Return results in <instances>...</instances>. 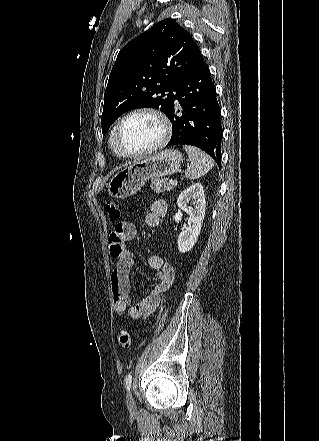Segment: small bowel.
<instances>
[{
  "instance_id": "1",
  "label": "small bowel",
  "mask_w": 319,
  "mask_h": 441,
  "mask_svg": "<svg viewBox=\"0 0 319 441\" xmlns=\"http://www.w3.org/2000/svg\"><path fill=\"white\" fill-rule=\"evenodd\" d=\"M167 204L164 200L154 201L145 216V223L149 227H157L160 219L166 214ZM137 234L136 227L129 222L119 223L115 226L109 239L111 256L117 259L111 274V291L113 307L116 314L126 310L133 319L149 317L158 307L161 294L172 284L174 279L173 268L159 255H151L148 265L157 272V284L135 304L130 303V272L135 263V254L127 248V243L134 240Z\"/></svg>"
}]
</instances>
